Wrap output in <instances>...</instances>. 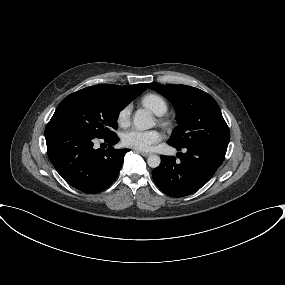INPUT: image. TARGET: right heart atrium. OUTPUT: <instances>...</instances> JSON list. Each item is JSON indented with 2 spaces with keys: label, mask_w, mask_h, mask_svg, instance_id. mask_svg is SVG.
Segmentation results:
<instances>
[{
  "label": "right heart atrium",
  "mask_w": 285,
  "mask_h": 285,
  "mask_svg": "<svg viewBox=\"0 0 285 285\" xmlns=\"http://www.w3.org/2000/svg\"><path fill=\"white\" fill-rule=\"evenodd\" d=\"M131 116V106H124L118 113L117 122L120 126L128 125Z\"/></svg>",
  "instance_id": "obj_1"
}]
</instances>
